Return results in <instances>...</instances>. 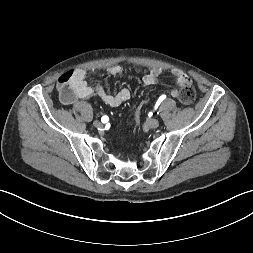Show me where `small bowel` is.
I'll return each mask as SVG.
<instances>
[{
    "mask_svg": "<svg viewBox=\"0 0 253 253\" xmlns=\"http://www.w3.org/2000/svg\"><path fill=\"white\" fill-rule=\"evenodd\" d=\"M123 68L120 65H113L108 68V73L112 76L120 75ZM162 74V69L159 67L152 68L142 79L143 86H150L155 84ZM174 76L176 84L182 88L191 85V79L186 73L181 70L175 69L171 71ZM59 87V84H58ZM60 90V89H59ZM172 97H178L179 90L172 89L170 91ZM61 101L65 105H72L79 99H87L92 96L99 97L106 105L110 107H118L124 102L128 101L131 97V92L127 88H123L114 94H109L100 84L90 86L86 82V71L84 69H75L71 72V79L69 81L68 93L63 95L60 92Z\"/></svg>",
    "mask_w": 253,
    "mask_h": 253,
    "instance_id": "obj_1",
    "label": "small bowel"
}]
</instances>
